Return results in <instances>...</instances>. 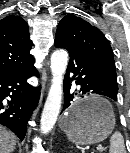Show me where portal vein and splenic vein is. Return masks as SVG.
I'll use <instances>...</instances> for the list:
<instances>
[{
    "label": "portal vein and splenic vein",
    "instance_id": "obj_1",
    "mask_svg": "<svg viewBox=\"0 0 130 153\" xmlns=\"http://www.w3.org/2000/svg\"><path fill=\"white\" fill-rule=\"evenodd\" d=\"M101 151H103L104 150V147H102L101 145H99V147H98Z\"/></svg>",
    "mask_w": 130,
    "mask_h": 153
}]
</instances>
